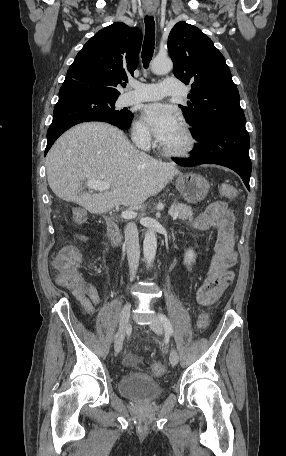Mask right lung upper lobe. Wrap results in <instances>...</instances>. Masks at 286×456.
<instances>
[{
  "mask_svg": "<svg viewBox=\"0 0 286 456\" xmlns=\"http://www.w3.org/2000/svg\"><path fill=\"white\" fill-rule=\"evenodd\" d=\"M142 32L122 22L90 38L67 71L63 85H76L105 100H117V86L133 76L138 65ZM62 85V86H63Z\"/></svg>",
  "mask_w": 286,
  "mask_h": 456,
  "instance_id": "cb5924a9",
  "label": "right lung upper lobe"
}]
</instances>
